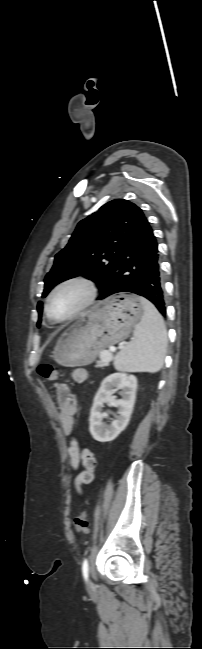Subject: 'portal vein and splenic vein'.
I'll use <instances>...</instances> for the list:
<instances>
[{"label":"portal vein and splenic vein","mask_w":202,"mask_h":649,"mask_svg":"<svg viewBox=\"0 0 202 649\" xmlns=\"http://www.w3.org/2000/svg\"><path fill=\"white\" fill-rule=\"evenodd\" d=\"M110 350H115V349L113 348V349H110ZM100 358H101L102 361L110 362L112 360V355L108 354L107 352H102L101 355H100Z\"/></svg>","instance_id":"obj_1"}]
</instances>
